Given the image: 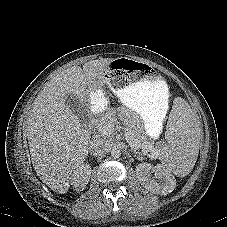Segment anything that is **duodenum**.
Here are the masks:
<instances>
[{
  "label": "duodenum",
  "instance_id": "410a0bca",
  "mask_svg": "<svg viewBox=\"0 0 227 227\" xmlns=\"http://www.w3.org/2000/svg\"><path fill=\"white\" fill-rule=\"evenodd\" d=\"M98 121V116L97 115H92L89 120V126L90 128H93Z\"/></svg>",
  "mask_w": 227,
  "mask_h": 227
}]
</instances>
